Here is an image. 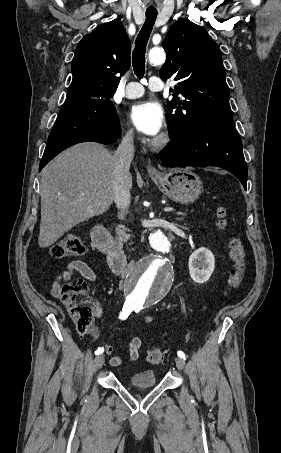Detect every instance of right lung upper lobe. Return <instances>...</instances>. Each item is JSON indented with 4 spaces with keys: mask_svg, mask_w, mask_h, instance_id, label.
<instances>
[{
    "mask_svg": "<svg viewBox=\"0 0 281 453\" xmlns=\"http://www.w3.org/2000/svg\"><path fill=\"white\" fill-rule=\"evenodd\" d=\"M130 41L120 21L98 26L79 42L72 61V83L65 102L109 101L130 67Z\"/></svg>",
    "mask_w": 281,
    "mask_h": 453,
    "instance_id": "obj_1",
    "label": "right lung upper lobe"
}]
</instances>
